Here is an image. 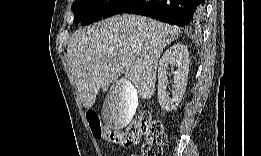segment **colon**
I'll return each instance as SVG.
<instances>
[{
	"mask_svg": "<svg viewBox=\"0 0 261 156\" xmlns=\"http://www.w3.org/2000/svg\"><path fill=\"white\" fill-rule=\"evenodd\" d=\"M95 116V112H89L87 118L96 137L123 148L137 145L141 137H144L145 142L142 145L141 155H162L163 146L166 142L164 128L159 120L152 118L149 111L140 113L137 119L123 130H110L103 126Z\"/></svg>",
	"mask_w": 261,
	"mask_h": 156,
	"instance_id": "5ec220e1",
	"label": "colon"
}]
</instances>
